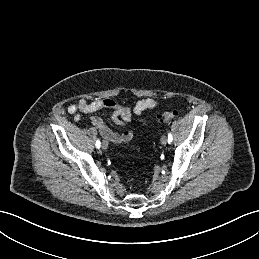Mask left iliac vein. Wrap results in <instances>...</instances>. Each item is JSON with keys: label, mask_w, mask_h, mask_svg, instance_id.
I'll use <instances>...</instances> for the list:
<instances>
[{"label": "left iliac vein", "mask_w": 259, "mask_h": 259, "mask_svg": "<svg viewBox=\"0 0 259 259\" xmlns=\"http://www.w3.org/2000/svg\"><path fill=\"white\" fill-rule=\"evenodd\" d=\"M160 141H161V144H162V145H166L167 142H168L166 136H164V135L161 137Z\"/></svg>", "instance_id": "obj_1"}]
</instances>
